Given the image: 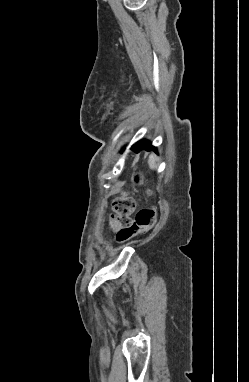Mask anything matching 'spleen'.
Instances as JSON below:
<instances>
[{
	"label": "spleen",
	"mask_w": 249,
	"mask_h": 382,
	"mask_svg": "<svg viewBox=\"0 0 249 382\" xmlns=\"http://www.w3.org/2000/svg\"><path fill=\"white\" fill-rule=\"evenodd\" d=\"M157 161H158V158L155 154H151L149 156V160H148V164H149V167L154 170L157 168Z\"/></svg>",
	"instance_id": "spleen-1"
}]
</instances>
